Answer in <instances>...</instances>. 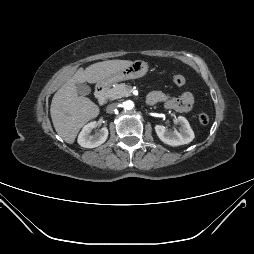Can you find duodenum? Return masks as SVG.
Instances as JSON below:
<instances>
[{
  "instance_id": "obj_1",
  "label": "duodenum",
  "mask_w": 254,
  "mask_h": 254,
  "mask_svg": "<svg viewBox=\"0 0 254 254\" xmlns=\"http://www.w3.org/2000/svg\"><path fill=\"white\" fill-rule=\"evenodd\" d=\"M95 97L98 101L99 105H104L107 99V87L106 85L100 84L97 86L96 91H95ZM148 104H150L147 101ZM151 105V104H150Z\"/></svg>"
}]
</instances>
